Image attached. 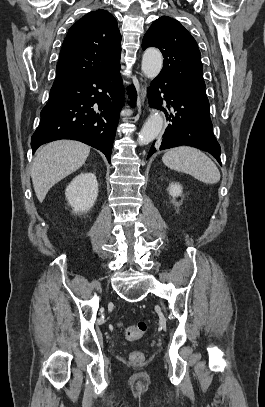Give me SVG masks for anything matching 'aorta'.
Here are the masks:
<instances>
[{
    "label": "aorta",
    "mask_w": 265,
    "mask_h": 407,
    "mask_svg": "<svg viewBox=\"0 0 265 407\" xmlns=\"http://www.w3.org/2000/svg\"><path fill=\"white\" fill-rule=\"evenodd\" d=\"M163 66V57L157 49H147L142 58V72L150 79L155 78ZM163 117L158 110H153L138 135V143L145 145L153 141L161 132Z\"/></svg>",
    "instance_id": "obj_1"
}]
</instances>
